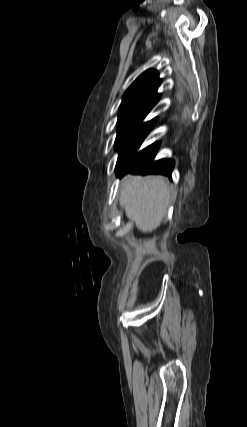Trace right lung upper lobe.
I'll return each instance as SVG.
<instances>
[{
    "label": "right lung upper lobe",
    "instance_id": "1",
    "mask_svg": "<svg viewBox=\"0 0 247 427\" xmlns=\"http://www.w3.org/2000/svg\"><path fill=\"white\" fill-rule=\"evenodd\" d=\"M161 84L158 72L149 69L141 74L123 96L119 114H148L160 98L157 89Z\"/></svg>",
    "mask_w": 247,
    "mask_h": 427
}]
</instances>
